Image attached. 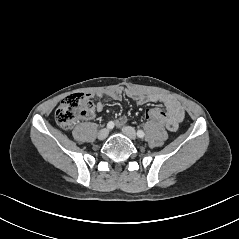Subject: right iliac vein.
I'll return each mask as SVG.
<instances>
[{
    "label": "right iliac vein",
    "mask_w": 239,
    "mask_h": 239,
    "mask_svg": "<svg viewBox=\"0 0 239 239\" xmlns=\"http://www.w3.org/2000/svg\"><path fill=\"white\" fill-rule=\"evenodd\" d=\"M108 134H109V130L107 128H104L98 132L97 137L99 140H105L107 138Z\"/></svg>",
    "instance_id": "63e3f726"
}]
</instances>
